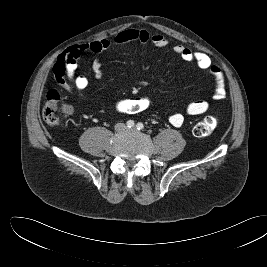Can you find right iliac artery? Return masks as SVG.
I'll list each match as a JSON object with an SVG mask.
<instances>
[{
  "label": "right iliac artery",
  "mask_w": 267,
  "mask_h": 267,
  "mask_svg": "<svg viewBox=\"0 0 267 267\" xmlns=\"http://www.w3.org/2000/svg\"><path fill=\"white\" fill-rule=\"evenodd\" d=\"M127 127H129V128H131V127H133L134 126V121L133 120H129V121H127Z\"/></svg>",
  "instance_id": "obj_1"
}]
</instances>
